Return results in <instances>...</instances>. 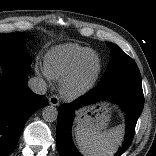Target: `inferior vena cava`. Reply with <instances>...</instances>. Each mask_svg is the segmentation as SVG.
Instances as JSON below:
<instances>
[{
	"instance_id": "602c4592",
	"label": "inferior vena cava",
	"mask_w": 156,
	"mask_h": 156,
	"mask_svg": "<svg viewBox=\"0 0 156 156\" xmlns=\"http://www.w3.org/2000/svg\"><path fill=\"white\" fill-rule=\"evenodd\" d=\"M28 86L35 94L44 95L47 91V84L40 77L29 79Z\"/></svg>"
}]
</instances>
